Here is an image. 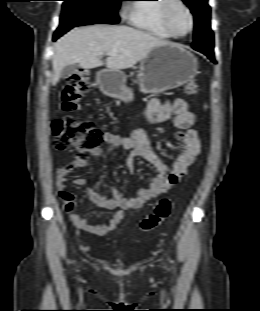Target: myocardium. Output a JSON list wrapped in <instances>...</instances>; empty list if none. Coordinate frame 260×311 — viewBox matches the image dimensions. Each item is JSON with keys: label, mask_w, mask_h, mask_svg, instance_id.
Returning <instances> with one entry per match:
<instances>
[{"label": "myocardium", "mask_w": 260, "mask_h": 311, "mask_svg": "<svg viewBox=\"0 0 260 311\" xmlns=\"http://www.w3.org/2000/svg\"><path fill=\"white\" fill-rule=\"evenodd\" d=\"M174 4L180 5L188 14L190 20V28L185 34H177L173 31L170 22L169 14ZM160 20L166 31L175 38H182L189 35L194 29V15L190 7L183 0H164L160 8Z\"/></svg>", "instance_id": "1"}]
</instances>
